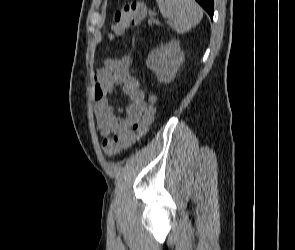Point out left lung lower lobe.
I'll list each match as a JSON object with an SVG mask.
<instances>
[{"label": "left lung lower lobe", "mask_w": 295, "mask_h": 250, "mask_svg": "<svg viewBox=\"0 0 295 250\" xmlns=\"http://www.w3.org/2000/svg\"><path fill=\"white\" fill-rule=\"evenodd\" d=\"M210 15L211 18H213V7L214 2L213 0H196Z\"/></svg>", "instance_id": "obj_1"}]
</instances>
